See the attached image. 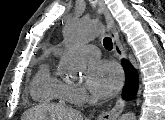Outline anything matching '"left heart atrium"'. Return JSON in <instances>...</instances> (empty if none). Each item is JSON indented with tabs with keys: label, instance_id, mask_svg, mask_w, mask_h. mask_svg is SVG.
Returning a JSON list of instances; mask_svg holds the SVG:
<instances>
[{
	"label": "left heart atrium",
	"instance_id": "1",
	"mask_svg": "<svg viewBox=\"0 0 165 120\" xmlns=\"http://www.w3.org/2000/svg\"><path fill=\"white\" fill-rule=\"evenodd\" d=\"M122 84V73L119 67L108 61L93 63L88 71V86L98 97L114 95Z\"/></svg>",
	"mask_w": 165,
	"mask_h": 120
}]
</instances>
